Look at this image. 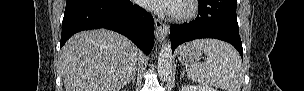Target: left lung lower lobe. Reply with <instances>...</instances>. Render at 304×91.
<instances>
[{
	"label": "left lung lower lobe",
	"instance_id": "obj_1",
	"mask_svg": "<svg viewBox=\"0 0 304 91\" xmlns=\"http://www.w3.org/2000/svg\"><path fill=\"white\" fill-rule=\"evenodd\" d=\"M198 2L199 15L195 20L170 27L172 50L194 39L215 38L232 44L243 59L236 17L237 0H198Z\"/></svg>",
	"mask_w": 304,
	"mask_h": 91
}]
</instances>
